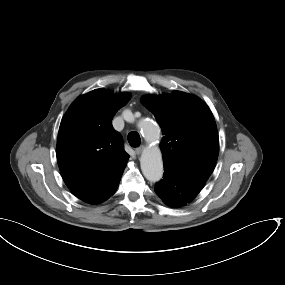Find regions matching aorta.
I'll return each instance as SVG.
<instances>
[{
  "mask_svg": "<svg viewBox=\"0 0 285 285\" xmlns=\"http://www.w3.org/2000/svg\"><path fill=\"white\" fill-rule=\"evenodd\" d=\"M138 127L146 141L155 142L160 138V128L153 120L143 119L139 121ZM140 165L147 180L159 181L164 172L160 148L157 146L145 148L140 158Z\"/></svg>",
  "mask_w": 285,
  "mask_h": 285,
  "instance_id": "1",
  "label": "aorta"
}]
</instances>
